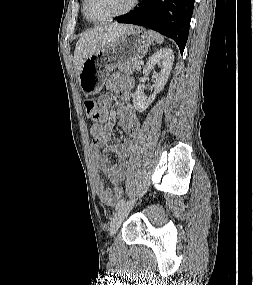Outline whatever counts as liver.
<instances>
[{
    "instance_id": "liver-1",
    "label": "liver",
    "mask_w": 253,
    "mask_h": 285,
    "mask_svg": "<svg viewBox=\"0 0 253 285\" xmlns=\"http://www.w3.org/2000/svg\"><path fill=\"white\" fill-rule=\"evenodd\" d=\"M132 27V25L112 23L95 27L83 33L77 41L74 51L77 73H79L85 59L105 48Z\"/></svg>"
}]
</instances>
